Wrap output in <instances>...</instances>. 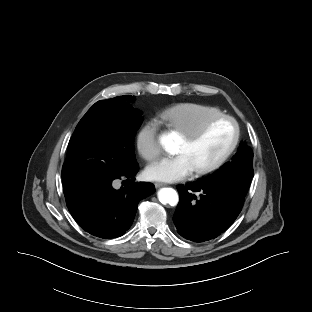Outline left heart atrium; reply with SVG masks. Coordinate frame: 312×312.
<instances>
[{"label":"left heart atrium","instance_id":"obj_1","mask_svg":"<svg viewBox=\"0 0 312 312\" xmlns=\"http://www.w3.org/2000/svg\"><path fill=\"white\" fill-rule=\"evenodd\" d=\"M186 154L163 157L148 166L145 177L151 181L176 182L185 179L194 171Z\"/></svg>","mask_w":312,"mask_h":312}]
</instances>
